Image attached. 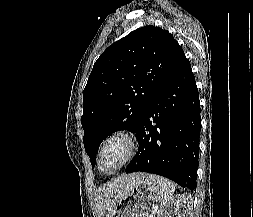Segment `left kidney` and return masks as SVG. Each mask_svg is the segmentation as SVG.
<instances>
[{"label": "left kidney", "instance_id": "left-kidney-1", "mask_svg": "<svg viewBox=\"0 0 253 217\" xmlns=\"http://www.w3.org/2000/svg\"><path fill=\"white\" fill-rule=\"evenodd\" d=\"M192 204V197L187 194H179L171 198L166 204H164L160 211L159 217H188L190 207Z\"/></svg>", "mask_w": 253, "mask_h": 217}]
</instances>
